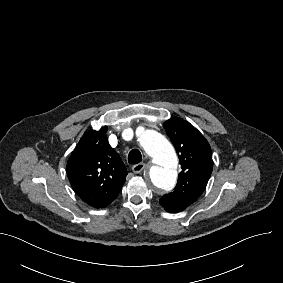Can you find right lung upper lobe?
<instances>
[{"label":"right lung upper lobe","instance_id":"cb5924a9","mask_svg":"<svg viewBox=\"0 0 283 283\" xmlns=\"http://www.w3.org/2000/svg\"><path fill=\"white\" fill-rule=\"evenodd\" d=\"M106 132V127L85 132L67 162L73 190L95 208L106 207L118 196L128 174Z\"/></svg>","mask_w":283,"mask_h":283}]
</instances>
